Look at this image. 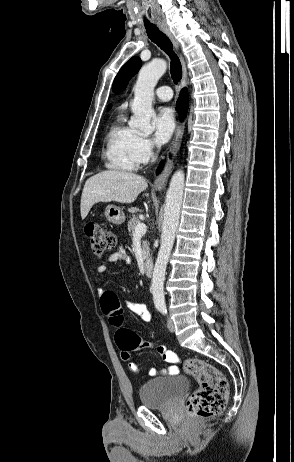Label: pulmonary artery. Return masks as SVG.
<instances>
[{"label": "pulmonary artery", "mask_w": 294, "mask_h": 462, "mask_svg": "<svg viewBox=\"0 0 294 462\" xmlns=\"http://www.w3.org/2000/svg\"><path fill=\"white\" fill-rule=\"evenodd\" d=\"M155 95L161 101H168L173 97V91L169 86H162L156 89Z\"/></svg>", "instance_id": "1"}]
</instances>
